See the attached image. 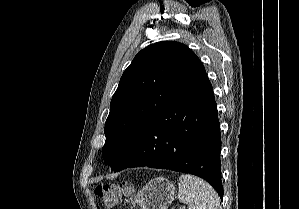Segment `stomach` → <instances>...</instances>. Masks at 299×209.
<instances>
[{"label": "stomach", "mask_w": 299, "mask_h": 209, "mask_svg": "<svg viewBox=\"0 0 299 209\" xmlns=\"http://www.w3.org/2000/svg\"><path fill=\"white\" fill-rule=\"evenodd\" d=\"M174 184L164 177L150 180L137 195L131 204L140 209H168L175 198Z\"/></svg>", "instance_id": "stomach-1"}]
</instances>
